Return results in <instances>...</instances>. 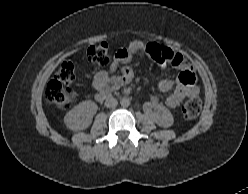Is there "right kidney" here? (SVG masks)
<instances>
[{"instance_id":"obj_1","label":"right kidney","mask_w":248,"mask_h":194,"mask_svg":"<svg viewBox=\"0 0 248 194\" xmlns=\"http://www.w3.org/2000/svg\"><path fill=\"white\" fill-rule=\"evenodd\" d=\"M98 106L95 102L87 100L72 108L64 117L66 127L72 131L84 130L90 126Z\"/></svg>"}]
</instances>
